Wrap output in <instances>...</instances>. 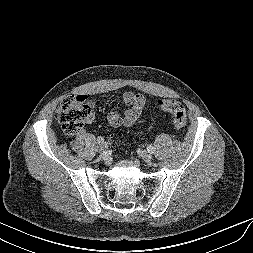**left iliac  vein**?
<instances>
[{"label":"left iliac vein","mask_w":253,"mask_h":253,"mask_svg":"<svg viewBox=\"0 0 253 253\" xmlns=\"http://www.w3.org/2000/svg\"><path fill=\"white\" fill-rule=\"evenodd\" d=\"M141 157L142 159L147 162V163H151V160H152V155L149 151L147 150H143L142 153H141Z\"/></svg>","instance_id":"4c4485c4"}]
</instances>
